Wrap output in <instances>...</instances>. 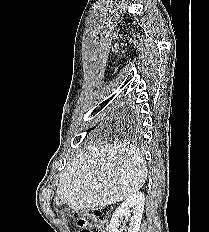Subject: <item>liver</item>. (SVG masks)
<instances>
[{
	"label": "liver",
	"mask_w": 209,
	"mask_h": 232,
	"mask_svg": "<svg viewBox=\"0 0 209 232\" xmlns=\"http://www.w3.org/2000/svg\"><path fill=\"white\" fill-rule=\"evenodd\" d=\"M143 152L128 142L88 145L66 167L57 197L74 212L127 199L144 185Z\"/></svg>",
	"instance_id": "6515ba94"
}]
</instances>
